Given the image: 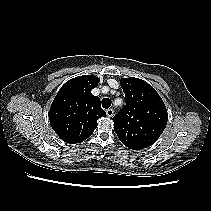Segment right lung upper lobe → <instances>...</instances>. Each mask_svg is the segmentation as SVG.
Returning a JSON list of instances; mask_svg holds the SVG:
<instances>
[{
	"label": "right lung upper lobe",
	"mask_w": 211,
	"mask_h": 211,
	"mask_svg": "<svg viewBox=\"0 0 211 211\" xmlns=\"http://www.w3.org/2000/svg\"><path fill=\"white\" fill-rule=\"evenodd\" d=\"M99 78L84 75L67 81L58 91L48 113L50 125L66 143L76 144L90 137L97 120L106 116L100 99L91 90Z\"/></svg>",
	"instance_id": "1"
}]
</instances>
